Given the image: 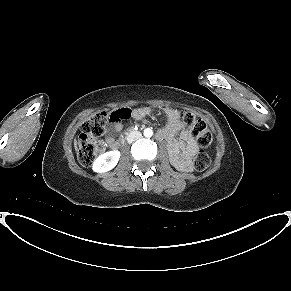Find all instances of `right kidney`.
<instances>
[{"label": "right kidney", "mask_w": 291, "mask_h": 291, "mask_svg": "<svg viewBox=\"0 0 291 291\" xmlns=\"http://www.w3.org/2000/svg\"><path fill=\"white\" fill-rule=\"evenodd\" d=\"M120 152L117 150L109 151L104 154H101L94 162L92 169L94 172L104 173L111 169H113L119 159H120Z\"/></svg>", "instance_id": "right-kidney-1"}]
</instances>
